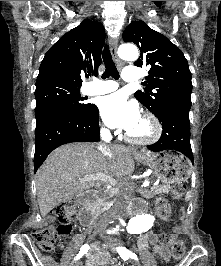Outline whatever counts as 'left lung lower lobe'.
<instances>
[{"label": "left lung lower lobe", "mask_w": 221, "mask_h": 266, "mask_svg": "<svg viewBox=\"0 0 221 266\" xmlns=\"http://www.w3.org/2000/svg\"><path fill=\"white\" fill-rule=\"evenodd\" d=\"M163 131L158 142L147 146L152 152H180L193 162L190 144L189 110L184 108L168 109L159 119Z\"/></svg>", "instance_id": "1"}]
</instances>
